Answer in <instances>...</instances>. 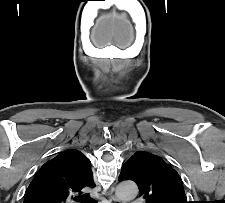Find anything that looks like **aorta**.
Instances as JSON below:
<instances>
[{
  "instance_id": "obj_1",
  "label": "aorta",
  "mask_w": 225,
  "mask_h": 203,
  "mask_svg": "<svg viewBox=\"0 0 225 203\" xmlns=\"http://www.w3.org/2000/svg\"><path fill=\"white\" fill-rule=\"evenodd\" d=\"M115 193L120 200L126 202L137 196L138 187L132 181H124L118 184Z\"/></svg>"
}]
</instances>
